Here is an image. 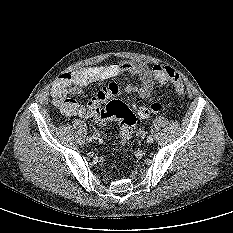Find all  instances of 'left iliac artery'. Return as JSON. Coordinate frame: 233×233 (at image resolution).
<instances>
[{
	"label": "left iliac artery",
	"mask_w": 233,
	"mask_h": 233,
	"mask_svg": "<svg viewBox=\"0 0 233 233\" xmlns=\"http://www.w3.org/2000/svg\"><path fill=\"white\" fill-rule=\"evenodd\" d=\"M147 141H148L149 143L153 142V137H152V135H149V136H148Z\"/></svg>",
	"instance_id": "left-iliac-artery-1"
}]
</instances>
